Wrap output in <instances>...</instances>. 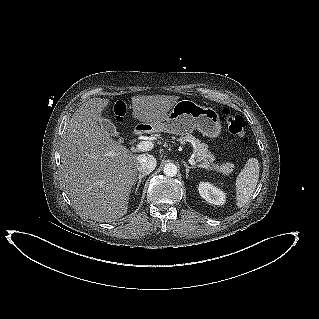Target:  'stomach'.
Here are the masks:
<instances>
[{"instance_id": "1", "label": "stomach", "mask_w": 319, "mask_h": 319, "mask_svg": "<svg viewBox=\"0 0 319 319\" xmlns=\"http://www.w3.org/2000/svg\"><path fill=\"white\" fill-rule=\"evenodd\" d=\"M149 128L182 136L197 129L203 136L216 138L221 134L222 126L216 110L184 99L176 102L165 118L149 125Z\"/></svg>"}]
</instances>
